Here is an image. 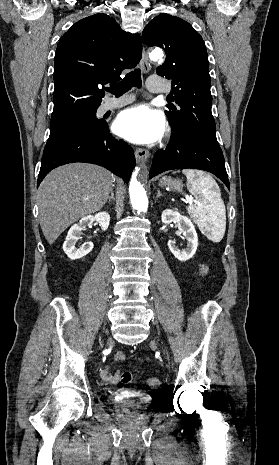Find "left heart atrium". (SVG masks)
<instances>
[{
    "label": "left heart atrium",
    "mask_w": 279,
    "mask_h": 465,
    "mask_svg": "<svg viewBox=\"0 0 279 465\" xmlns=\"http://www.w3.org/2000/svg\"><path fill=\"white\" fill-rule=\"evenodd\" d=\"M114 128L118 135L130 142L150 144L164 134L165 119L161 112L146 105H138L121 112Z\"/></svg>",
    "instance_id": "obj_1"
}]
</instances>
